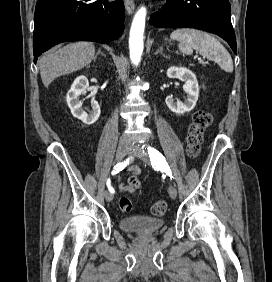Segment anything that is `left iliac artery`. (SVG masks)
Segmentation results:
<instances>
[{"mask_svg": "<svg viewBox=\"0 0 272 282\" xmlns=\"http://www.w3.org/2000/svg\"><path fill=\"white\" fill-rule=\"evenodd\" d=\"M145 149H147L148 151L150 161H151L153 168H156L157 170L165 172L172 179L171 169L168 163L166 162L165 157L158 150L150 146L145 147Z\"/></svg>", "mask_w": 272, "mask_h": 282, "instance_id": "left-iliac-artery-1", "label": "left iliac artery"}]
</instances>
